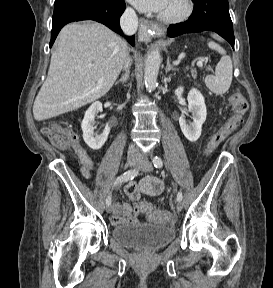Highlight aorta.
Masks as SVG:
<instances>
[{
    "label": "aorta",
    "mask_w": 273,
    "mask_h": 288,
    "mask_svg": "<svg viewBox=\"0 0 273 288\" xmlns=\"http://www.w3.org/2000/svg\"><path fill=\"white\" fill-rule=\"evenodd\" d=\"M161 64V55L158 50H152L148 53L145 68H144V81L146 88L151 92L157 85V77Z\"/></svg>",
    "instance_id": "aorta-1"
}]
</instances>
